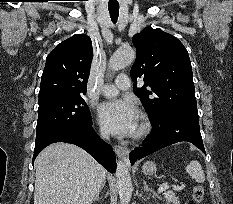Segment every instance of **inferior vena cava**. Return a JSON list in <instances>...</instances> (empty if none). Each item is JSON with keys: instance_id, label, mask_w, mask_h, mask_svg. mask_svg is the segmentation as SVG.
I'll return each instance as SVG.
<instances>
[{"instance_id": "1", "label": "inferior vena cava", "mask_w": 233, "mask_h": 204, "mask_svg": "<svg viewBox=\"0 0 233 204\" xmlns=\"http://www.w3.org/2000/svg\"><path fill=\"white\" fill-rule=\"evenodd\" d=\"M101 135H102V137H103L104 139H108V138H109V136H108L107 133H102Z\"/></svg>"}]
</instances>
